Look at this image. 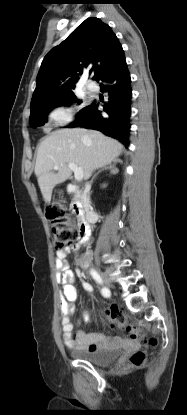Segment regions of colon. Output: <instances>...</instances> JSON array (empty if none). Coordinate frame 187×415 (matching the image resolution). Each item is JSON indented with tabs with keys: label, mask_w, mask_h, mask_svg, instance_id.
I'll return each mask as SVG.
<instances>
[{
	"label": "colon",
	"mask_w": 187,
	"mask_h": 415,
	"mask_svg": "<svg viewBox=\"0 0 187 415\" xmlns=\"http://www.w3.org/2000/svg\"><path fill=\"white\" fill-rule=\"evenodd\" d=\"M54 237V247L57 251L66 250L78 243L81 232L79 224L72 218L69 210L62 204L53 205L47 211ZM106 317L112 327L119 329L123 334L133 340L141 341L144 346L155 348L158 340L155 337H146L144 332L129 323L125 316L115 307L106 310ZM145 361L143 351L134 352L129 359L127 367H137Z\"/></svg>",
	"instance_id": "obj_1"
}]
</instances>
